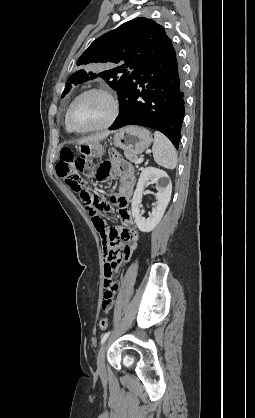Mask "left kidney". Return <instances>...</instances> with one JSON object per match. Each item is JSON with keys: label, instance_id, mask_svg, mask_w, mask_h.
I'll list each match as a JSON object with an SVG mask.
<instances>
[{"label": "left kidney", "instance_id": "1", "mask_svg": "<svg viewBox=\"0 0 255 418\" xmlns=\"http://www.w3.org/2000/svg\"><path fill=\"white\" fill-rule=\"evenodd\" d=\"M148 181L155 183L157 186V202L149 217L144 218L141 214L140 207L144 187ZM171 193L172 183L165 171L155 167H147L142 170L132 198V215L140 231L150 232L158 225L168 206Z\"/></svg>", "mask_w": 255, "mask_h": 418}]
</instances>
